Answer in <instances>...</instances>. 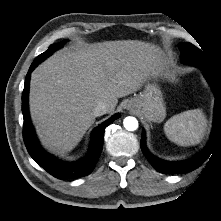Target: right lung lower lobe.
I'll return each mask as SVG.
<instances>
[{
	"label": "right lung lower lobe",
	"mask_w": 221,
	"mask_h": 221,
	"mask_svg": "<svg viewBox=\"0 0 221 221\" xmlns=\"http://www.w3.org/2000/svg\"><path fill=\"white\" fill-rule=\"evenodd\" d=\"M40 62L41 59H35L30 66L22 93V113L24 118L23 139L26 148L30 156L36 161V163L54 177L58 179H77L80 177H84L93 171L99 159L103 148V134L105 128L114 120L118 119L120 117V114H116L115 116L111 117L94 130L91 138L90 149L84 158L76 162H65L54 158L53 156L45 152L40 146L32 127L28 110L30 75L33 69Z\"/></svg>",
	"instance_id": "right-lung-lower-lobe-1"
}]
</instances>
